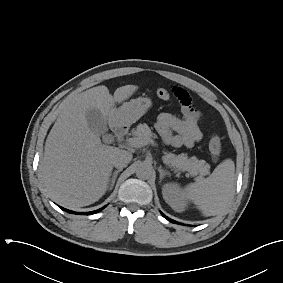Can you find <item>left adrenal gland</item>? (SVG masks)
I'll return each instance as SVG.
<instances>
[{"mask_svg":"<svg viewBox=\"0 0 283 283\" xmlns=\"http://www.w3.org/2000/svg\"><path fill=\"white\" fill-rule=\"evenodd\" d=\"M158 171H159V173H160V181H162V179H163L166 175L171 176L170 172L167 171V170L162 169L161 166L158 168Z\"/></svg>","mask_w":283,"mask_h":283,"instance_id":"left-adrenal-gland-1","label":"left adrenal gland"}]
</instances>
